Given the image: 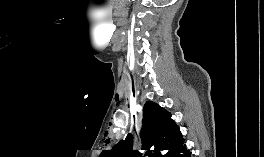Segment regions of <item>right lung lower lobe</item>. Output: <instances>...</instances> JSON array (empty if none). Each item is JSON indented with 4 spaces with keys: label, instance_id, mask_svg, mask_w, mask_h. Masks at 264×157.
I'll use <instances>...</instances> for the list:
<instances>
[{
    "label": "right lung lower lobe",
    "instance_id": "obj_1",
    "mask_svg": "<svg viewBox=\"0 0 264 157\" xmlns=\"http://www.w3.org/2000/svg\"><path fill=\"white\" fill-rule=\"evenodd\" d=\"M163 157H192L189 149L186 148L184 139L179 141L172 149H170Z\"/></svg>",
    "mask_w": 264,
    "mask_h": 157
}]
</instances>
